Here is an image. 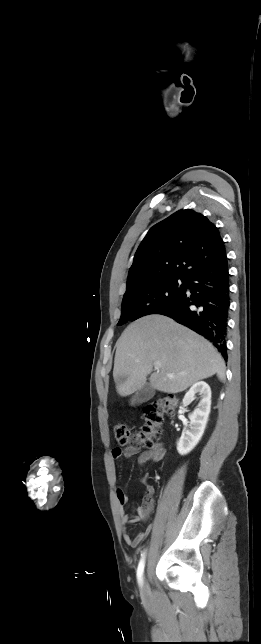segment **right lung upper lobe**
Masks as SVG:
<instances>
[{"mask_svg":"<svg viewBox=\"0 0 261 644\" xmlns=\"http://www.w3.org/2000/svg\"><path fill=\"white\" fill-rule=\"evenodd\" d=\"M226 257L218 229L193 210H180L153 226L130 267L127 289L187 275Z\"/></svg>","mask_w":261,"mask_h":644,"instance_id":"1","label":"right lung upper lobe"}]
</instances>
